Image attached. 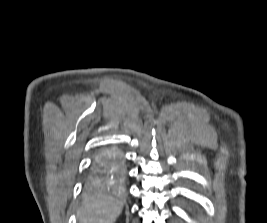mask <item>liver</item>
<instances>
[{"mask_svg":"<svg viewBox=\"0 0 267 223\" xmlns=\"http://www.w3.org/2000/svg\"><path fill=\"white\" fill-rule=\"evenodd\" d=\"M123 209V204L115 198L94 194L85 197L78 213L79 223H114Z\"/></svg>","mask_w":267,"mask_h":223,"instance_id":"1","label":"liver"}]
</instances>
